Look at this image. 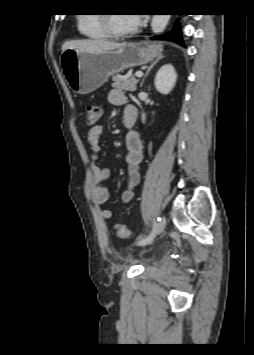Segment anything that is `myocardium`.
Masks as SVG:
<instances>
[{
  "mask_svg": "<svg viewBox=\"0 0 254 355\" xmlns=\"http://www.w3.org/2000/svg\"><path fill=\"white\" fill-rule=\"evenodd\" d=\"M111 13H105L101 15V24L104 32L110 38H125L134 35L137 32V28H133L125 31H117L112 26Z\"/></svg>",
  "mask_w": 254,
  "mask_h": 355,
  "instance_id": "1",
  "label": "myocardium"
}]
</instances>
